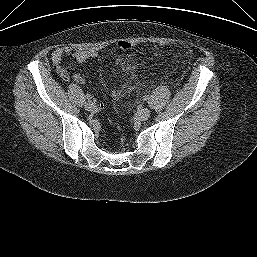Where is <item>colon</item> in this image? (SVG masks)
Wrapping results in <instances>:
<instances>
[{"label": "colon", "mask_w": 257, "mask_h": 257, "mask_svg": "<svg viewBox=\"0 0 257 257\" xmlns=\"http://www.w3.org/2000/svg\"><path fill=\"white\" fill-rule=\"evenodd\" d=\"M134 45L135 44L132 41L127 39H122L117 43V47L121 50H130L134 47Z\"/></svg>", "instance_id": "obj_1"}]
</instances>
